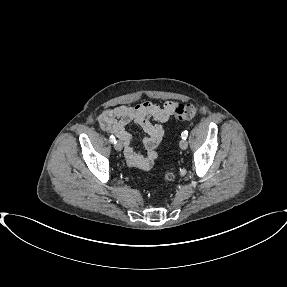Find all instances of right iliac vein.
I'll return each mask as SVG.
<instances>
[{
	"label": "right iliac vein",
	"mask_w": 287,
	"mask_h": 287,
	"mask_svg": "<svg viewBox=\"0 0 287 287\" xmlns=\"http://www.w3.org/2000/svg\"><path fill=\"white\" fill-rule=\"evenodd\" d=\"M114 148H115L117 151H121L122 148H123V145H122L121 141H117V142L114 144Z\"/></svg>",
	"instance_id": "1"
}]
</instances>
